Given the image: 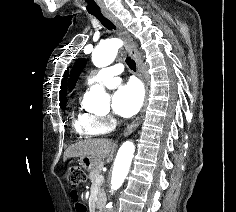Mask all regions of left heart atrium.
<instances>
[{
	"instance_id": "1",
	"label": "left heart atrium",
	"mask_w": 236,
	"mask_h": 212,
	"mask_svg": "<svg viewBox=\"0 0 236 212\" xmlns=\"http://www.w3.org/2000/svg\"><path fill=\"white\" fill-rule=\"evenodd\" d=\"M144 93L141 85L131 81L121 87L112 97V108L114 112L122 117H131L141 108Z\"/></svg>"
}]
</instances>
